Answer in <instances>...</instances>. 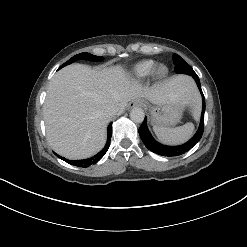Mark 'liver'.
I'll return each instance as SVG.
<instances>
[{"instance_id":"liver-1","label":"liver","mask_w":247,"mask_h":247,"mask_svg":"<svg viewBox=\"0 0 247 247\" xmlns=\"http://www.w3.org/2000/svg\"><path fill=\"white\" fill-rule=\"evenodd\" d=\"M145 98L152 104L191 100L183 77H173L153 87H142L120 66L92 69L72 64L51 79L43 115L47 140L58 154L69 159L88 158L106 142L111 117L104 112L114 107L122 112L128 102ZM117 112V113H118Z\"/></svg>"}]
</instances>
